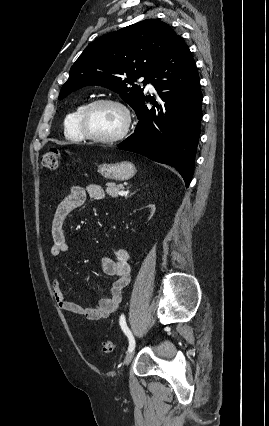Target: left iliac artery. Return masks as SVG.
Returning <instances> with one entry per match:
<instances>
[{
    "label": "left iliac artery",
    "mask_w": 269,
    "mask_h": 426,
    "mask_svg": "<svg viewBox=\"0 0 269 426\" xmlns=\"http://www.w3.org/2000/svg\"><path fill=\"white\" fill-rule=\"evenodd\" d=\"M119 323H120L121 329L123 330V332L128 337V340H129L128 352H130V351H132L135 348V339H134L131 331L127 327L124 315L120 316Z\"/></svg>",
    "instance_id": "44dca946"
}]
</instances>
